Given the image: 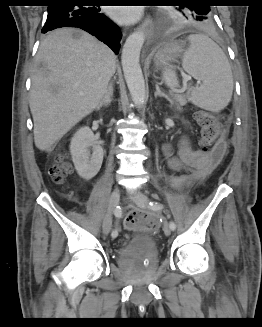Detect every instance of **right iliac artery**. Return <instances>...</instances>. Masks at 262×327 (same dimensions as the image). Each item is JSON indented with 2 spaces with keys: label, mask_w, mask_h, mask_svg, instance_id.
Wrapping results in <instances>:
<instances>
[{
  "label": "right iliac artery",
  "mask_w": 262,
  "mask_h": 327,
  "mask_svg": "<svg viewBox=\"0 0 262 327\" xmlns=\"http://www.w3.org/2000/svg\"><path fill=\"white\" fill-rule=\"evenodd\" d=\"M114 214H115V216L117 217V218H120L121 217V210H120V208L119 207H116V209L114 210ZM112 237L113 238H115V237H117L118 236V231L117 230H113V232H112Z\"/></svg>",
  "instance_id": "82829eb1"
}]
</instances>
